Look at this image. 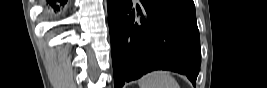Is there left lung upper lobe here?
Listing matches in <instances>:
<instances>
[{
    "label": "left lung upper lobe",
    "instance_id": "left-lung-upper-lobe-1",
    "mask_svg": "<svg viewBox=\"0 0 267 88\" xmlns=\"http://www.w3.org/2000/svg\"><path fill=\"white\" fill-rule=\"evenodd\" d=\"M191 10H195V5L193 0H164Z\"/></svg>",
    "mask_w": 267,
    "mask_h": 88
}]
</instances>
